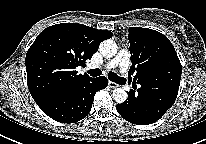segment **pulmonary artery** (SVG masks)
Listing matches in <instances>:
<instances>
[{
    "mask_svg": "<svg viewBox=\"0 0 206 144\" xmlns=\"http://www.w3.org/2000/svg\"><path fill=\"white\" fill-rule=\"evenodd\" d=\"M130 64V54L127 50H121L117 56L105 65V68L111 69L119 67L122 72H126Z\"/></svg>",
    "mask_w": 206,
    "mask_h": 144,
    "instance_id": "obj_1",
    "label": "pulmonary artery"
}]
</instances>
